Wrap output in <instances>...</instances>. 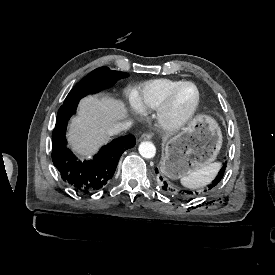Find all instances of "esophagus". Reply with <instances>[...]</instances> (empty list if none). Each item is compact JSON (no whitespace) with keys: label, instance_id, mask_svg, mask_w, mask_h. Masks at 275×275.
Listing matches in <instances>:
<instances>
[{"label":"esophagus","instance_id":"esophagus-1","mask_svg":"<svg viewBox=\"0 0 275 275\" xmlns=\"http://www.w3.org/2000/svg\"><path fill=\"white\" fill-rule=\"evenodd\" d=\"M152 138V135L149 133H144L141 137H140V141H144V140H150Z\"/></svg>","mask_w":275,"mask_h":275}]
</instances>
